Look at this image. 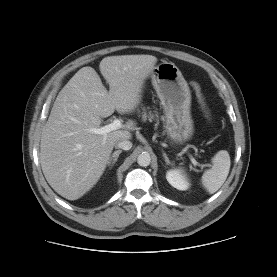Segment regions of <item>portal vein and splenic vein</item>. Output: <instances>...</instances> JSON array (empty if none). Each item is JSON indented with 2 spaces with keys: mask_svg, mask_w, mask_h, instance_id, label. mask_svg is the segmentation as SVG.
I'll return each mask as SVG.
<instances>
[{
  "mask_svg": "<svg viewBox=\"0 0 277 277\" xmlns=\"http://www.w3.org/2000/svg\"><path fill=\"white\" fill-rule=\"evenodd\" d=\"M122 127V123L119 119H114L110 124L105 125L101 128H91L89 129V132H92L94 134H100V135H105L111 131L120 129ZM190 160L194 166H201V168L204 167H209V164H199L192 155H189Z\"/></svg>",
  "mask_w": 277,
  "mask_h": 277,
  "instance_id": "portal-vein-and-splenic-vein-1",
  "label": "portal vein and splenic vein"
}]
</instances>
